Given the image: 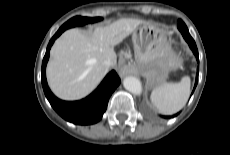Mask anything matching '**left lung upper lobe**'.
<instances>
[{
    "label": "left lung upper lobe",
    "instance_id": "left-lung-upper-lobe-1",
    "mask_svg": "<svg viewBox=\"0 0 230 155\" xmlns=\"http://www.w3.org/2000/svg\"><path fill=\"white\" fill-rule=\"evenodd\" d=\"M178 29L182 33V35L189 34L188 28L182 20L178 21Z\"/></svg>",
    "mask_w": 230,
    "mask_h": 155
}]
</instances>
